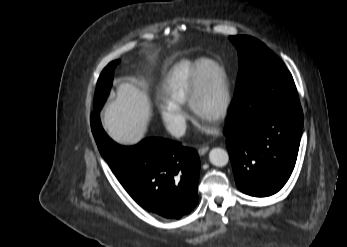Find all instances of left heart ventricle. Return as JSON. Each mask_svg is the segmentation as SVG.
<instances>
[{
  "label": "left heart ventricle",
  "mask_w": 347,
  "mask_h": 247,
  "mask_svg": "<svg viewBox=\"0 0 347 247\" xmlns=\"http://www.w3.org/2000/svg\"><path fill=\"white\" fill-rule=\"evenodd\" d=\"M221 102V89L217 73L210 66L203 68V91L200 112L204 120H209L217 111Z\"/></svg>",
  "instance_id": "1"
}]
</instances>
